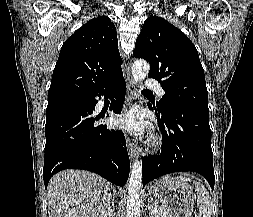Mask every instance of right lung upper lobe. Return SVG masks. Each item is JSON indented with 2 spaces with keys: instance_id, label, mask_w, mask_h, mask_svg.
<instances>
[{
  "instance_id": "1",
  "label": "right lung upper lobe",
  "mask_w": 253,
  "mask_h": 217,
  "mask_svg": "<svg viewBox=\"0 0 253 217\" xmlns=\"http://www.w3.org/2000/svg\"><path fill=\"white\" fill-rule=\"evenodd\" d=\"M116 28L98 16L63 44L55 65L48 103L83 98L122 73Z\"/></svg>"
}]
</instances>
